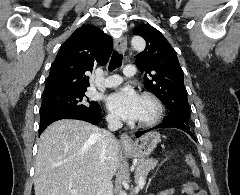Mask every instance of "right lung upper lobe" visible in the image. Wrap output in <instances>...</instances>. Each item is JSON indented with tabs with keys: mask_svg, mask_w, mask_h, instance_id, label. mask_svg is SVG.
<instances>
[{
	"mask_svg": "<svg viewBox=\"0 0 240 195\" xmlns=\"http://www.w3.org/2000/svg\"><path fill=\"white\" fill-rule=\"evenodd\" d=\"M112 39L93 25L76 29L63 43L52 64L43 95L89 86L87 71L94 63L105 64L112 52Z\"/></svg>",
	"mask_w": 240,
	"mask_h": 195,
	"instance_id": "1",
	"label": "right lung upper lobe"
}]
</instances>
